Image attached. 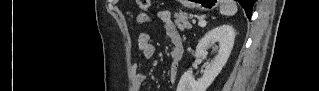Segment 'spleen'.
Returning a JSON list of instances; mask_svg holds the SVG:
<instances>
[{"label": "spleen", "mask_w": 319, "mask_h": 91, "mask_svg": "<svg viewBox=\"0 0 319 91\" xmlns=\"http://www.w3.org/2000/svg\"><path fill=\"white\" fill-rule=\"evenodd\" d=\"M237 5L233 0L220 1V13L226 16H233L237 12Z\"/></svg>", "instance_id": "1"}]
</instances>
